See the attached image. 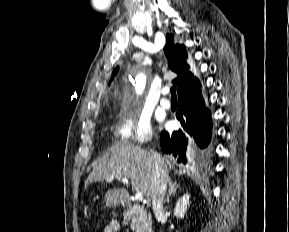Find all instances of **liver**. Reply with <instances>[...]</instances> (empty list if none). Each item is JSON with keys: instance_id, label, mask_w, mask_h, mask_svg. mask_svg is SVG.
<instances>
[{"instance_id": "6515ba94", "label": "liver", "mask_w": 289, "mask_h": 232, "mask_svg": "<svg viewBox=\"0 0 289 232\" xmlns=\"http://www.w3.org/2000/svg\"><path fill=\"white\" fill-rule=\"evenodd\" d=\"M110 157L95 166L86 180L85 187L97 181L113 177L131 180L132 188L142 192L147 199L152 196L153 151L134 146L125 141L115 142L109 149ZM162 165L168 167L169 159L161 157Z\"/></svg>"}]
</instances>
